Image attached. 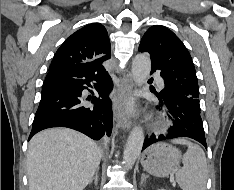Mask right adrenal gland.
I'll return each instance as SVG.
<instances>
[{
    "instance_id": "2a0ac1e0",
    "label": "right adrenal gland",
    "mask_w": 234,
    "mask_h": 190,
    "mask_svg": "<svg viewBox=\"0 0 234 190\" xmlns=\"http://www.w3.org/2000/svg\"><path fill=\"white\" fill-rule=\"evenodd\" d=\"M94 181L95 186L98 184V170L95 172V176L91 179L89 184H91Z\"/></svg>"
}]
</instances>
